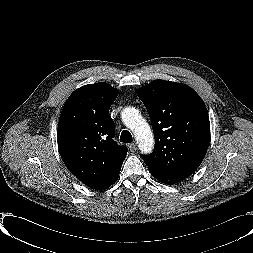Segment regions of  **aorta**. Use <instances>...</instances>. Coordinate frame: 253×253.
Here are the masks:
<instances>
[{
    "label": "aorta",
    "mask_w": 253,
    "mask_h": 253,
    "mask_svg": "<svg viewBox=\"0 0 253 253\" xmlns=\"http://www.w3.org/2000/svg\"><path fill=\"white\" fill-rule=\"evenodd\" d=\"M124 124L133 132L142 153H151L154 137L149 124L134 107H126L121 113Z\"/></svg>",
    "instance_id": "1"
}]
</instances>
